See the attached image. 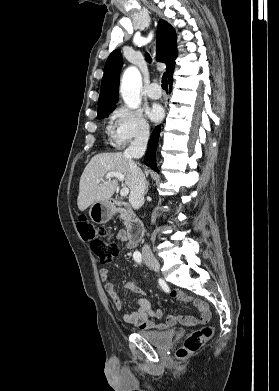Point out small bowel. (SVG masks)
Instances as JSON below:
<instances>
[{
	"instance_id": "small-bowel-1",
	"label": "small bowel",
	"mask_w": 279,
	"mask_h": 391,
	"mask_svg": "<svg viewBox=\"0 0 279 391\" xmlns=\"http://www.w3.org/2000/svg\"><path fill=\"white\" fill-rule=\"evenodd\" d=\"M117 239L126 243L127 248L131 249L135 246H132L128 239V234L125 231H119L116 235ZM101 280L105 283V290L107 294L112 299L115 308L120 311L122 309V302L119 298V295L115 289L114 284L110 281V272L108 269L103 268L100 270ZM126 287L134 292L144 295V292L141 290L139 285L135 282H129L126 284ZM169 295L175 299L187 302L196 307L199 315L196 316H168L164 323H157L156 321L161 319L163 312L161 309L153 310L150 301L143 297L138 298L135 301L138 309L131 313H122V320L127 324H132L140 329H158L164 330L169 327H172L176 324H181L184 326H196L199 324H206L211 318V313L208 305L198 299H194L188 294L180 290H170Z\"/></svg>"
}]
</instances>
